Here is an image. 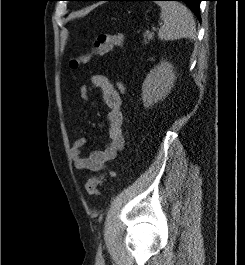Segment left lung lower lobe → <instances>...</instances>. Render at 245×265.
Instances as JSON below:
<instances>
[{
    "label": "left lung lower lobe",
    "mask_w": 245,
    "mask_h": 265,
    "mask_svg": "<svg viewBox=\"0 0 245 265\" xmlns=\"http://www.w3.org/2000/svg\"><path fill=\"white\" fill-rule=\"evenodd\" d=\"M83 1H103V0H83ZM105 1H124V0H105ZM149 1H159V0H149ZM185 2L195 13V15L200 19V1L202 0H175Z\"/></svg>",
    "instance_id": "0a47b994"
}]
</instances>
